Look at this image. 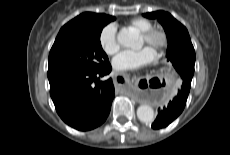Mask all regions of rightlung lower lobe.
Listing matches in <instances>:
<instances>
[{
  "instance_id": "right-lung-lower-lobe-1",
  "label": "right lung lower lobe",
  "mask_w": 230,
  "mask_h": 155,
  "mask_svg": "<svg viewBox=\"0 0 230 155\" xmlns=\"http://www.w3.org/2000/svg\"><path fill=\"white\" fill-rule=\"evenodd\" d=\"M110 72L109 63L99 69L48 73L51 98L65 123L77 130L87 131L106 120L114 98V86L111 78L100 81V77Z\"/></svg>"
}]
</instances>
